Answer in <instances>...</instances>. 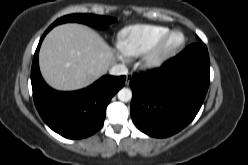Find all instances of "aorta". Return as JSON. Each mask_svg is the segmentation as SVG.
Returning a JSON list of instances; mask_svg holds the SVG:
<instances>
[{
    "label": "aorta",
    "mask_w": 248,
    "mask_h": 165,
    "mask_svg": "<svg viewBox=\"0 0 248 165\" xmlns=\"http://www.w3.org/2000/svg\"><path fill=\"white\" fill-rule=\"evenodd\" d=\"M117 95L120 101L128 102L132 98V91L128 88H122Z\"/></svg>",
    "instance_id": "aorta-1"
}]
</instances>
